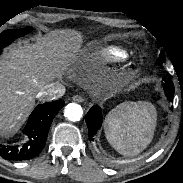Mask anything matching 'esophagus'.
I'll list each match as a JSON object with an SVG mask.
<instances>
[{"label": "esophagus", "instance_id": "1", "mask_svg": "<svg viewBox=\"0 0 183 183\" xmlns=\"http://www.w3.org/2000/svg\"><path fill=\"white\" fill-rule=\"evenodd\" d=\"M72 99L75 102H83L85 100V98L82 95H75V96H73Z\"/></svg>", "mask_w": 183, "mask_h": 183}]
</instances>
